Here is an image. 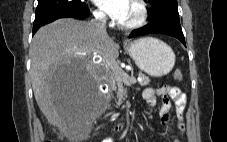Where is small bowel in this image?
<instances>
[{"instance_id":"c3829d8e","label":"small bowel","mask_w":227,"mask_h":142,"mask_svg":"<svg viewBox=\"0 0 227 142\" xmlns=\"http://www.w3.org/2000/svg\"><path fill=\"white\" fill-rule=\"evenodd\" d=\"M158 96L162 97V104L159 110V116L162 124L167 126L170 124V121H171V113H170L171 103H170L169 97L174 100L179 118L181 120L185 109V104H186L185 94H183L179 88L171 87L168 85L161 86L157 89L146 88L142 92L143 99L151 107H154L156 105ZM179 128L180 130H183L184 126L182 122H180ZM102 142H115V141L111 138H107V139H104Z\"/></svg>"}]
</instances>
